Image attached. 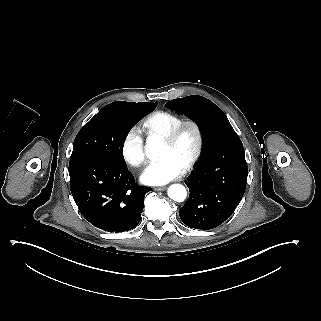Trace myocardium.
Here are the masks:
<instances>
[{"mask_svg": "<svg viewBox=\"0 0 321 321\" xmlns=\"http://www.w3.org/2000/svg\"><path fill=\"white\" fill-rule=\"evenodd\" d=\"M187 128H193L196 134V146L184 166V172H188L194 168L200 160L204 150V133L199 122L193 119L184 120L177 125L171 132L162 136V139L172 146H176L180 141L184 131Z\"/></svg>", "mask_w": 321, "mask_h": 321, "instance_id": "obj_1", "label": "myocardium"}]
</instances>
